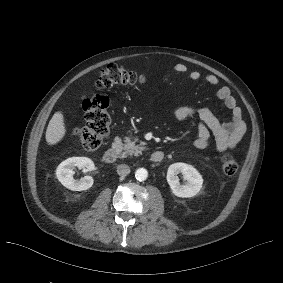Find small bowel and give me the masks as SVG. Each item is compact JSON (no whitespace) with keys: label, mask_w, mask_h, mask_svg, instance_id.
Segmentation results:
<instances>
[{"label":"small bowel","mask_w":283,"mask_h":283,"mask_svg":"<svg viewBox=\"0 0 283 283\" xmlns=\"http://www.w3.org/2000/svg\"><path fill=\"white\" fill-rule=\"evenodd\" d=\"M174 70L180 74H187L191 80H204L211 86H218L219 79L213 74L203 75L199 70L189 69L185 64L177 63ZM215 94L220 99L231 114L228 122L220 121L217 116L206 107L195 108L192 106H180L174 109L173 116L176 120H184L192 116L199 119L197 128V138L194 146L204 149L209 146L211 136L215 137L216 149L223 152L237 146L246 132V123L242 117V111L238 106L231 91L226 86H220Z\"/></svg>","instance_id":"1"}]
</instances>
